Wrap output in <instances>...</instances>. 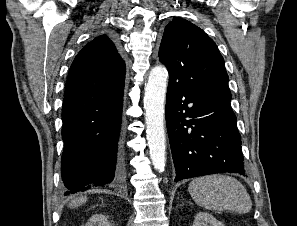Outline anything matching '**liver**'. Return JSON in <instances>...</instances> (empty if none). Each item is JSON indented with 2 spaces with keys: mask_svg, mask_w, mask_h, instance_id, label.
Masks as SVG:
<instances>
[{
  "mask_svg": "<svg viewBox=\"0 0 297 226\" xmlns=\"http://www.w3.org/2000/svg\"><path fill=\"white\" fill-rule=\"evenodd\" d=\"M86 201H87L86 197L76 198L69 204V207H74V208L78 207V206L84 204Z\"/></svg>",
  "mask_w": 297,
  "mask_h": 226,
  "instance_id": "liver-1",
  "label": "liver"
}]
</instances>
